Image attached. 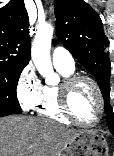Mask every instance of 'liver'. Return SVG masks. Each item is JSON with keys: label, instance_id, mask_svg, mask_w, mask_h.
Listing matches in <instances>:
<instances>
[{"label": "liver", "instance_id": "liver-1", "mask_svg": "<svg viewBox=\"0 0 114 156\" xmlns=\"http://www.w3.org/2000/svg\"><path fill=\"white\" fill-rule=\"evenodd\" d=\"M79 132L49 119L3 117L0 118V156H59Z\"/></svg>", "mask_w": 114, "mask_h": 156}]
</instances>
